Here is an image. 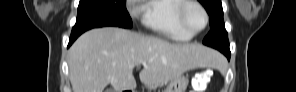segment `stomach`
Returning <instances> with one entry per match:
<instances>
[{
	"label": "stomach",
	"mask_w": 296,
	"mask_h": 92,
	"mask_svg": "<svg viewBox=\"0 0 296 92\" xmlns=\"http://www.w3.org/2000/svg\"><path fill=\"white\" fill-rule=\"evenodd\" d=\"M188 86V79L185 76H179L173 79L164 92H185Z\"/></svg>",
	"instance_id": "1"
}]
</instances>
